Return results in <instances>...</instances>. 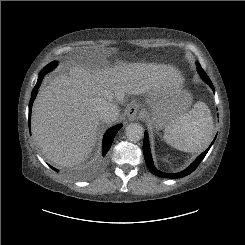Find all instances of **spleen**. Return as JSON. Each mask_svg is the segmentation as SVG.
Returning <instances> with one entry per match:
<instances>
[{
	"mask_svg": "<svg viewBox=\"0 0 245 245\" xmlns=\"http://www.w3.org/2000/svg\"><path fill=\"white\" fill-rule=\"evenodd\" d=\"M213 133V118L208 106L197 102L189 113L165 128L163 138L178 150L201 152L211 143Z\"/></svg>",
	"mask_w": 245,
	"mask_h": 245,
	"instance_id": "obj_1",
	"label": "spleen"
}]
</instances>
